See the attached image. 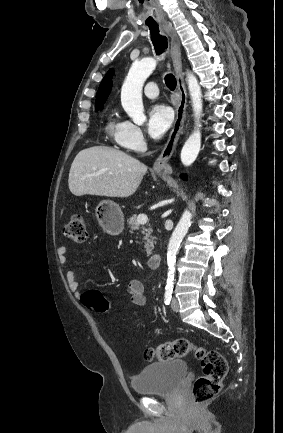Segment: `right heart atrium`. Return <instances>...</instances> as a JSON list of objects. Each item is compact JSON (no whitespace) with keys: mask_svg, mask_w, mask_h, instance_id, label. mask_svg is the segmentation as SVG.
<instances>
[{"mask_svg":"<svg viewBox=\"0 0 283 433\" xmlns=\"http://www.w3.org/2000/svg\"><path fill=\"white\" fill-rule=\"evenodd\" d=\"M115 141L124 150L137 154L145 150L146 142L141 129L130 121L121 123L115 134Z\"/></svg>","mask_w":283,"mask_h":433,"instance_id":"obj_1","label":"right heart atrium"}]
</instances>
